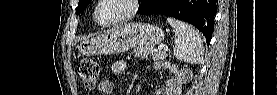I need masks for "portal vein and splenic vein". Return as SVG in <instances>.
<instances>
[{"instance_id": "1", "label": "portal vein and splenic vein", "mask_w": 277, "mask_h": 95, "mask_svg": "<svg viewBox=\"0 0 277 95\" xmlns=\"http://www.w3.org/2000/svg\"><path fill=\"white\" fill-rule=\"evenodd\" d=\"M158 49H159V50H161V49L167 50L166 47H165V45H160ZM156 51H158V50H154V52H156Z\"/></svg>"}]
</instances>
